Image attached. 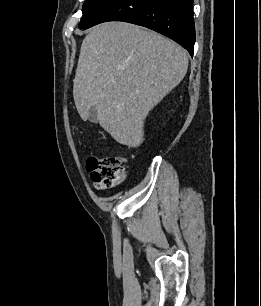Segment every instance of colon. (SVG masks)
<instances>
[{
    "label": "colon",
    "mask_w": 261,
    "mask_h": 306,
    "mask_svg": "<svg viewBox=\"0 0 261 306\" xmlns=\"http://www.w3.org/2000/svg\"><path fill=\"white\" fill-rule=\"evenodd\" d=\"M87 168L98 189L118 184L125 179L124 158L119 155H109L102 159L90 158Z\"/></svg>",
    "instance_id": "colon-1"
}]
</instances>
